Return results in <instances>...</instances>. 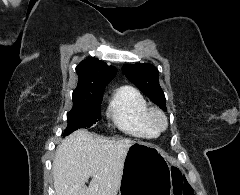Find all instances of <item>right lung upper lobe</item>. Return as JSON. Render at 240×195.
<instances>
[{
	"label": "right lung upper lobe",
	"mask_w": 240,
	"mask_h": 195,
	"mask_svg": "<svg viewBox=\"0 0 240 195\" xmlns=\"http://www.w3.org/2000/svg\"><path fill=\"white\" fill-rule=\"evenodd\" d=\"M78 84L73 99L102 98L105 86L115 77L116 69L97 58H87L76 67Z\"/></svg>",
	"instance_id": "cb5924a9"
}]
</instances>
